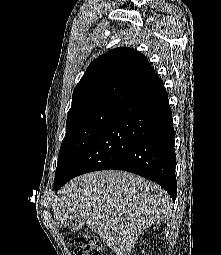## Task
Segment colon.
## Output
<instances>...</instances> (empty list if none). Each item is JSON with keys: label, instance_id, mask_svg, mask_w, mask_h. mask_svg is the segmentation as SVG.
Here are the masks:
<instances>
[{"label": "colon", "instance_id": "1", "mask_svg": "<svg viewBox=\"0 0 221 255\" xmlns=\"http://www.w3.org/2000/svg\"><path fill=\"white\" fill-rule=\"evenodd\" d=\"M75 255H107L98 239L89 233L79 234L75 239Z\"/></svg>", "mask_w": 221, "mask_h": 255}]
</instances>
